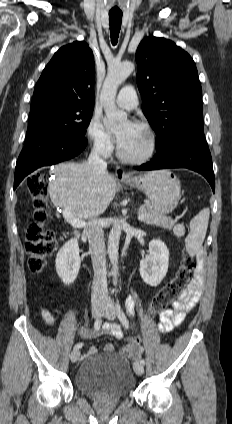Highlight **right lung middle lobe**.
I'll return each instance as SVG.
<instances>
[{"label": "right lung middle lobe", "instance_id": "dd1d6c3e", "mask_svg": "<svg viewBox=\"0 0 232 424\" xmlns=\"http://www.w3.org/2000/svg\"><path fill=\"white\" fill-rule=\"evenodd\" d=\"M92 113L93 107L56 103L31 108L26 139L36 134L82 138Z\"/></svg>", "mask_w": 232, "mask_h": 424}]
</instances>
